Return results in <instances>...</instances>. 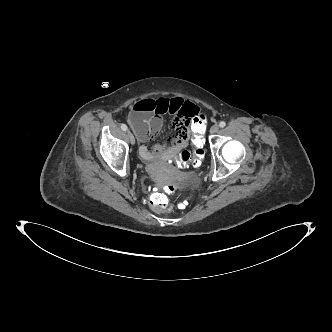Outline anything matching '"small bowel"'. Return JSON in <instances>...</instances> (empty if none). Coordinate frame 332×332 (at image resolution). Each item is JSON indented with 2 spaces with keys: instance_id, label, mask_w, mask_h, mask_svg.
I'll return each instance as SVG.
<instances>
[{
  "instance_id": "1",
  "label": "small bowel",
  "mask_w": 332,
  "mask_h": 332,
  "mask_svg": "<svg viewBox=\"0 0 332 332\" xmlns=\"http://www.w3.org/2000/svg\"><path fill=\"white\" fill-rule=\"evenodd\" d=\"M167 114L173 117L176 134L169 137L167 146L156 145L149 148L146 143L160 132ZM201 115L198 105L181 97H146L136 102L130 112L129 122L142 143L139 148L140 156L148 162H155L183 151L191 141L190 120L195 117L201 119Z\"/></svg>"
}]
</instances>
